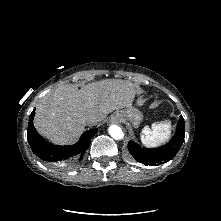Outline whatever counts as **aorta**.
Listing matches in <instances>:
<instances>
[{"label":"aorta","instance_id":"obj_1","mask_svg":"<svg viewBox=\"0 0 221 221\" xmlns=\"http://www.w3.org/2000/svg\"><path fill=\"white\" fill-rule=\"evenodd\" d=\"M108 132L110 136L116 140H121L124 137V133L118 125H111Z\"/></svg>","mask_w":221,"mask_h":221}]
</instances>
